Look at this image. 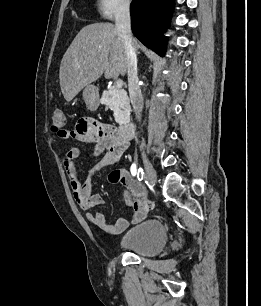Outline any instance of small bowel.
I'll return each mask as SVG.
<instances>
[{"instance_id": "small-bowel-1", "label": "small bowel", "mask_w": 261, "mask_h": 306, "mask_svg": "<svg viewBox=\"0 0 261 306\" xmlns=\"http://www.w3.org/2000/svg\"><path fill=\"white\" fill-rule=\"evenodd\" d=\"M64 139H75L85 143H93L94 154L101 156L99 161L90 168V176L83 183L81 173L77 167L76 161L81 154L77 147L70 148L64 159L63 165L67 173L73 197L78 206L86 212L87 219L107 235H117L126 230L131 223H135L144 218L146 214L143 198L138 195L133 199L130 193L124 192L126 204L131 208L129 218L120 217L114 222H109L103 213H92L91 210L102 204L103 199L99 194H93L92 178L107 166L119 163L123 154L130 144V139L123 138L119 131L110 125L100 123L92 119H82L78 121L74 129L64 130L60 136ZM124 177L122 181L113 184H121L126 188L131 186L130 176L125 170H116ZM114 172V171H113Z\"/></svg>"}]
</instances>
